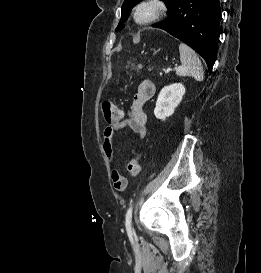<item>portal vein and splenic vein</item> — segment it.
Here are the masks:
<instances>
[{
	"instance_id": "1",
	"label": "portal vein and splenic vein",
	"mask_w": 261,
	"mask_h": 273,
	"mask_svg": "<svg viewBox=\"0 0 261 273\" xmlns=\"http://www.w3.org/2000/svg\"><path fill=\"white\" fill-rule=\"evenodd\" d=\"M177 67V64L175 65V68ZM171 70V68H167L166 70H165V73H168L169 71Z\"/></svg>"
}]
</instances>
